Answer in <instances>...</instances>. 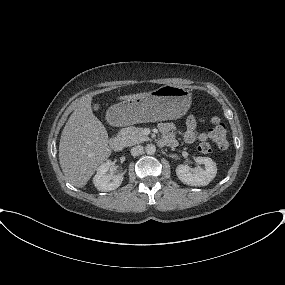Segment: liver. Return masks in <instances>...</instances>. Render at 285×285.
I'll return each mask as SVG.
<instances>
[{
    "label": "liver",
    "mask_w": 285,
    "mask_h": 285,
    "mask_svg": "<svg viewBox=\"0 0 285 285\" xmlns=\"http://www.w3.org/2000/svg\"><path fill=\"white\" fill-rule=\"evenodd\" d=\"M146 93L120 96L130 100ZM92 97L83 98L69 117L59 143V162L67 180L84 187L97 167L111 155L108 133L91 108Z\"/></svg>",
    "instance_id": "obj_1"
}]
</instances>
